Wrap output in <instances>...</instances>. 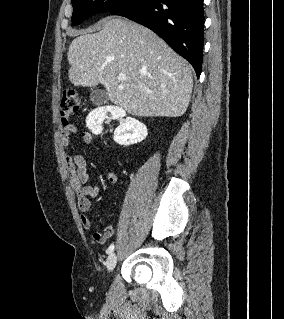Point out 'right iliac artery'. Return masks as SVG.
Masks as SVG:
<instances>
[{
    "instance_id": "1",
    "label": "right iliac artery",
    "mask_w": 284,
    "mask_h": 319,
    "mask_svg": "<svg viewBox=\"0 0 284 319\" xmlns=\"http://www.w3.org/2000/svg\"><path fill=\"white\" fill-rule=\"evenodd\" d=\"M114 247H115L114 244H111V245L108 247V249H107L106 252H107L108 254L112 253L113 250H114Z\"/></svg>"
}]
</instances>
